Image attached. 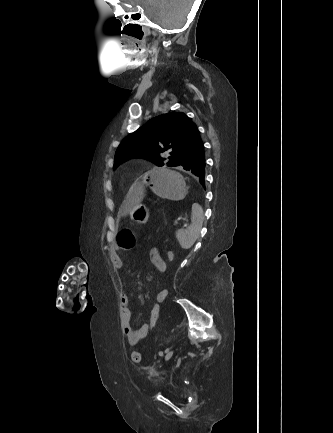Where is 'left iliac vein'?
<instances>
[{
    "label": "left iliac vein",
    "mask_w": 333,
    "mask_h": 433,
    "mask_svg": "<svg viewBox=\"0 0 333 433\" xmlns=\"http://www.w3.org/2000/svg\"><path fill=\"white\" fill-rule=\"evenodd\" d=\"M172 355H173V350L169 351V352L166 354V356H165V360H166V361L169 360V359L172 357Z\"/></svg>",
    "instance_id": "4c4485c4"
}]
</instances>
